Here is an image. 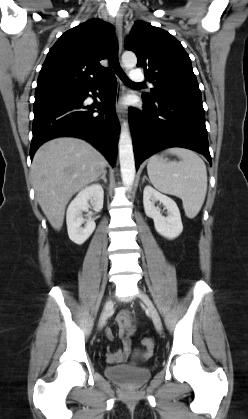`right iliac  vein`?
Wrapping results in <instances>:
<instances>
[{"instance_id": "right-iliac-vein-1", "label": "right iliac vein", "mask_w": 248, "mask_h": 419, "mask_svg": "<svg viewBox=\"0 0 248 419\" xmlns=\"http://www.w3.org/2000/svg\"><path fill=\"white\" fill-rule=\"evenodd\" d=\"M112 307H113V301H112V299H108L106 301L105 305H104L103 312H102V314L100 316V319H99V324H98L99 329H102L103 326L105 325L107 317H108Z\"/></svg>"}]
</instances>
